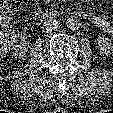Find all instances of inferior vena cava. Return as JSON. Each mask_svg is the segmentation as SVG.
I'll return each instance as SVG.
<instances>
[{"label":"inferior vena cava","instance_id":"obj_1","mask_svg":"<svg viewBox=\"0 0 113 113\" xmlns=\"http://www.w3.org/2000/svg\"><path fill=\"white\" fill-rule=\"evenodd\" d=\"M60 26V23L58 20L56 19H47L44 23H43V28L46 30V31H52V30H55L57 28H59Z\"/></svg>","mask_w":113,"mask_h":113}]
</instances>
